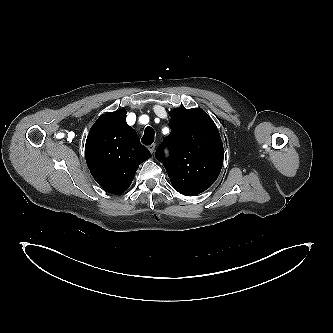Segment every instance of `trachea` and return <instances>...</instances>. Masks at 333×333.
Here are the masks:
<instances>
[{"label": "trachea", "instance_id": "1", "mask_svg": "<svg viewBox=\"0 0 333 333\" xmlns=\"http://www.w3.org/2000/svg\"><path fill=\"white\" fill-rule=\"evenodd\" d=\"M155 133L150 126L146 127L141 142L145 145H151L154 142Z\"/></svg>", "mask_w": 333, "mask_h": 333}]
</instances>
